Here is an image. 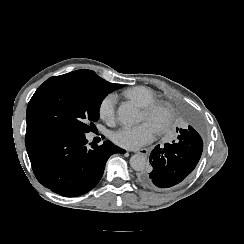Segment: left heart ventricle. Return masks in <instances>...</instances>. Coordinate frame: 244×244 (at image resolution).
<instances>
[{"label": "left heart ventricle", "instance_id": "1", "mask_svg": "<svg viewBox=\"0 0 244 244\" xmlns=\"http://www.w3.org/2000/svg\"><path fill=\"white\" fill-rule=\"evenodd\" d=\"M168 117L165 114V112L158 111L154 113H145L142 110V118L141 121L149 122L151 123L155 128L160 126L163 122L167 121Z\"/></svg>", "mask_w": 244, "mask_h": 244}]
</instances>
